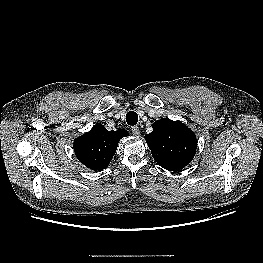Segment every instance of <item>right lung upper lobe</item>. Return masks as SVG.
<instances>
[{
    "label": "right lung upper lobe",
    "mask_w": 263,
    "mask_h": 263,
    "mask_svg": "<svg viewBox=\"0 0 263 263\" xmlns=\"http://www.w3.org/2000/svg\"><path fill=\"white\" fill-rule=\"evenodd\" d=\"M127 135L125 130L108 131L96 124L90 132L79 138L75 146L76 156L86 167L102 170L115 154L119 140Z\"/></svg>",
    "instance_id": "1"
}]
</instances>
